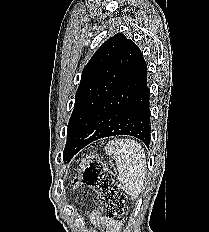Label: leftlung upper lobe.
Returning <instances> with one entry per match:
<instances>
[{"label":"left lung upper lobe","instance_id":"1","mask_svg":"<svg viewBox=\"0 0 209 232\" xmlns=\"http://www.w3.org/2000/svg\"><path fill=\"white\" fill-rule=\"evenodd\" d=\"M138 51L134 42L117 33L101 45L84 67L68 124L63 152L65 162L69 160V145L74 133L90 111L123 81Z\"/></svg>","mask_w":209,"mask_h":232}]
</instances>
